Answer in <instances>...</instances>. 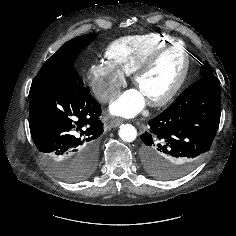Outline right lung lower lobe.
Here are the masks:
<instances>
[{"instance_id": "98d812e1", "label": "right lung lower lobe", "mask_w": 236, "mask_h": 236, "mask_svg": "<svg viewBox=\"0 0 236 236\" xmlns=\"http://www.w3.org/2000/svg\"><path fill=\"white\" fill-rule=\"evenodd\" d=\"M100 104L75 74L35 78L29 92L31 137L47 162L97 159Z\"/></svg>"}]
</instances>
